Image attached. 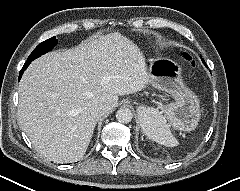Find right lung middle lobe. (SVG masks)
<instances>
[{
  "mask_svg": "<svg viewBox=\"0 0 240 191\" xmlns=\"http://www.w3.org/2000/svg\"><path fill=\"white\" fill-rule=\"evenodd\" d=\"M57 44V39L56 37H52L48 40L43 41L42 43H40L33 51L32 53L29 55L27 62H31L34 59L40 57L42 54L47 53L48 51H50L51 49H53V47Z\"/></svg>",
  "mask_w": 240,
  "mask_h": 191,
  "instance_id": "right-lung-middle-lobe-1",
  "label": "right lung middle lobe"
}]
</instances>
